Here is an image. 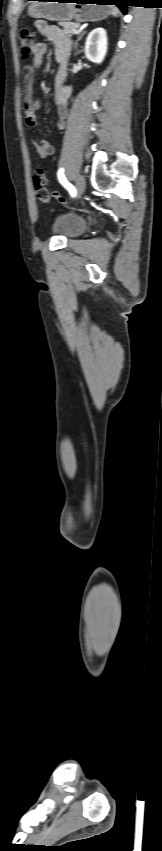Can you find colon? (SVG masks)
Segmentation results:
<instances>
[{
	"label": "colon",
	"instance_id": "5ec220e1",
	"mask_svg": "<svg viewBox=\"0 0 162 851\" xmlns=\"http://www.w3.org/2000/svg\"><path fill=\"white\" fill-rule=\"evenodd\" d=\"M20 40V53L24 59H29L31 55L34 53V49L36 46V35L34 31L30 29H22L19 34ZM33 184L35 188V193L37 197L47 203L51 199V197L55 198L62 204H67L68 200L61 195L58 191H50L47 187V178L42 169H35L33 172Z\"/></svg>",
	"mask_w": 162,
	"mask_h": 851
}]
</instances>
